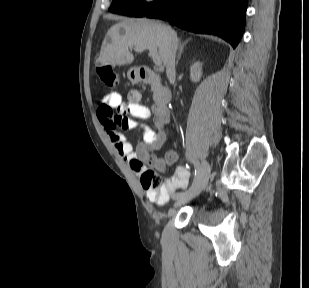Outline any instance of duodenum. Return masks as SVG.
<instances>
[{"label": "duodenum", "instance_id": "obj_1", "mask_svg": "<svg viewBox=\"0 0 309 288\" xmlns=\"http://www.w3.org/2000/svg\"><path fill=\"white\" fill-rule=\"evenodd\" d=\"M137 76L141 82L155 84V103L162 109L166 108L171 100V94L170 91L161 84L160 78L148 67H139L137 69Z\"/></svg>", "mask_w": 309, "mask_h": 288}]
</instances>
